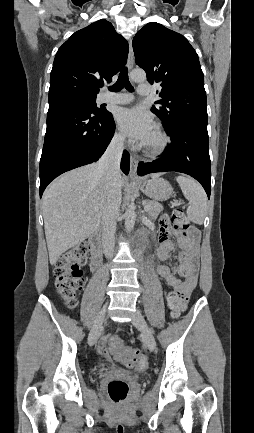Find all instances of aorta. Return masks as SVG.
Masks as SVG:
<instances>
[{
	"mask_svg": "<svg viewBox=\"0 0 254 433\" xmlns=\"http://www.w3.org/2000/svg\"><path fill=\"white\" fill-rule=\"evenodd\" d=\"M130 79L133 82H137V83L143 82L146 80V73L141 69L134 70L130 74ZM135 219H136L135 205L134 203H131L128 205V208L125 212V228L127 231H131L134 228Z\"/></svg>",
	"mask_w": 254,
	"mask_h": 433,
	"instance_id": "762f6f07",
	"label": "aorta"
}]
</instances>
